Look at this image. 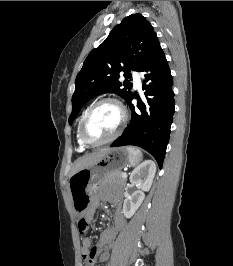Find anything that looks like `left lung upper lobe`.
Listing matches in <instances>:
<instances>
[{
  "label": "left lung upper lobe",
  "mask_w": 233,
  "mask_h": 266,
  "mask_svg": "<svg viewBox=\"0 0 233 266\" xmlns=\"http://www.w3.org/2000/svg\"><path fill=\"white\" fill-rule=\"evenodd\" d=\"M159 44L151 24L141 14L125 17L107 39L87 56L75 80L69 124L91 98L116 93L125 101L132 95V84L120 82L119 74L130 77V70L140 71L153 49Z\"/></svg>",
  "instance_id": "5c2ea615"
}]
</instances>
